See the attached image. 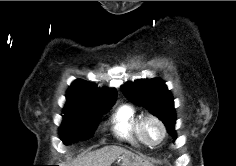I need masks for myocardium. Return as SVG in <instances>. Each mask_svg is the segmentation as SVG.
<instances>
[{
    "label": "myocardium",
    "mask_w": 236,
    "mask_h": 166,
    "mask_svg": "<svg viewBox=\"0 0 236 166\" xmlns=\"http://www.w3.org/2000/svg\"><path fill=\"white\" fill-rule=\"evenodd\" d=\"M150 121H153L156 124H158V126L161 129V136L156 142L149 140L146 135V131H145L146 125ZM139 131H140V136H141L143 142L147 146H150V147H155V146L159 145L160 143H162L166 137V134H167V129H166L165 123L163 122V120L160 117H158L155 114H146L142 117V119L140 121V125H139Z\"/></svg>",
    "instance_id": "myocardium-1"
}]
</instances>
